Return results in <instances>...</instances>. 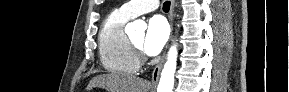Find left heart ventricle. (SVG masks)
Masks as SVG:
<instances>
[{
    "label": "left heart ventricle",
    "mask_w": 289,
    "mask_h": 92,
    "mask_svg": "<svg viewBox=\"0 0 289 92\" xmlns=\"http://www.w3.org/2000/svg\"><path fill=\"white\" fill-rule=\"evenodd\" d=\"M133 41V43L142 48V45H143V41H144V34L143 33H140V34H137L135 35L134 37H132L131 39Z\"/></svg>",
    "instance_id": "1"
}]
</instances>
